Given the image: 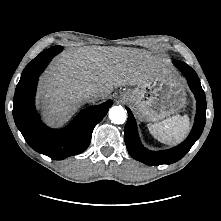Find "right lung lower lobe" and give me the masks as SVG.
Instances as JSON below:
<instances>
[{"instance_id": "98d812e1", "label": "right lung lower lobe", "mask_w": 221, "mask_h": 221, "mask_svg": "<svg viewBox=\"0 0 221 221\" xmlns=\"http://www.w3.org/2000/svg\"><path fill=\"white\" fill-rule=\"evenodd\" d=\"M62 49L56 46L47 49L25 67L13 99L14 121L26 142L35 151L54 160L83 152L90 144L94 127L113 104L109 100L97 106L87 107L63 129H51L41 122L34 104L38 77Z\"/></svg>"}]
</instances>
